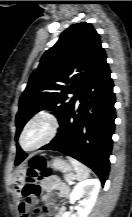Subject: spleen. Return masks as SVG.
Here are the masks:
<instances>
[{
    "mask_svg": "<svg viewBox=\"0 0 132 217\" xmlns=\"http://www.w3.org/2000/svg\"><path fill=\"white\" fill-rule=\"evenodd\" d=\"M70 163L73 165L74 170L76 171V177L78 181L84 180L89 177L90 170L78 160L67 157Z\"/></svg>",
    "mask_w": 132,
    "mask_h": 217,
    "instance_id": "3e777b00",
    "label": "spleen"
}]
</instances>
